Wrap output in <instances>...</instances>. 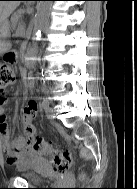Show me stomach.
Wrapping results in <instances>:
<instances>
[{
    "label": "stomach",
    "mask_w": 137,
    "mask_h": 189,
    "mask_svg": "<svg viewBox=\"0 0 137 189\" xmlns=\"http://www.w3.org/2000/svg\"><path fill=\"white\" fill-rule=\"evenodd\" d=\"M8 35H9V24L6 21L4 23V26L0 28V53L5 52L7 48L9 47V43L6 40Z\"/></svg>",
    "instance_id": "1"
}]
</instances>
